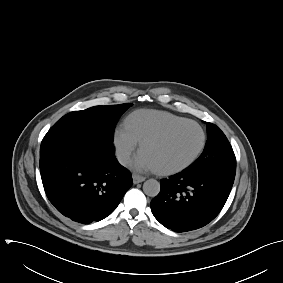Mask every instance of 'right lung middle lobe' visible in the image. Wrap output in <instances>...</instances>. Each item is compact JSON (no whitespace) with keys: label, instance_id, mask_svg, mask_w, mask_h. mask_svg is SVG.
I'll return each mask as SVG.
<instances>
[{"label":"right lung middle lobe","instance_id":"right-lung-middle-lobe-1","mask_svg":"<svg viewBox=\"0 0 283 283\" xmlns=\"http://www.w3.org/2000/svg\"><path fill=\"white\" fill-rule=\"evenodd\" d=\"M131 106L130 103L94 106L63 116L44 136L40 155L80 140L113 142L115 125L119 117Z\"/></svg>","mask_w":283,"mask_h":283}]
</instances>
